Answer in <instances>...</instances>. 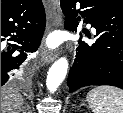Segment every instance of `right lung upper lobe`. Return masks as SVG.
<instances>
[{
	"label": "right lung upper lobe",
	"instance_id": "1",
	"mask_svg": "<svg viewBox=\"0 0 123 113\" xmlns=\"http://www.w3.org/2000/svg\"><path fill=\"white\" fill-rule=\"evenodd\" d=\"M18 0H1V10L15 4Z\"/></svg>",
	"mask_w": 123,
	"mask_h": 113
}]
</instances>
